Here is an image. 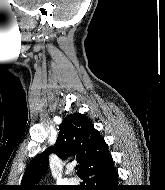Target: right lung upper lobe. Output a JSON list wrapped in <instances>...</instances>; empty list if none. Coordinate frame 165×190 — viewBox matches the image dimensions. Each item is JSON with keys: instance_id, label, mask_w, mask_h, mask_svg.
<instances>
[{"instance_id": "cb5924a9", "label": "right lung upper lobe", "mask_w": 165, "mask_h": 190, "mask_svg": "<svg viewBox=\"0 0 165 190\" xmlns=\"http://www.w3.org/2000/svg\"><path fill=\"white\" fill-rule=\"evenodd\" d=\"M55 152L62 160L76 156L80 164L79 176L86 170L96 166L108 153V146L90 120L83 114H71L61 123L59 135L54 147L35 157L28 165L20 190H41L57 188L52 185H36L48 167V154Z\"/></svg>"}]
</instances>
